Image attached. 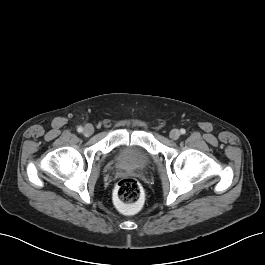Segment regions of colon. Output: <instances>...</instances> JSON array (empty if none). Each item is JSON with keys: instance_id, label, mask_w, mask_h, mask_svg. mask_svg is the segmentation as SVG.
<instances>
[{"instance_id": "obj_1", "label": "colon", "mask_w": 265, "mask_h": 265, "mask_svg": "<svg viewBox=\"0 0 265 265\" xmlns=\"http://www.w3.org/2000/svg\"><path fill=\"white\" fill-rule=\"evenodd\" d=\"M117 203L121 208H129L137 205L143 196L142 187L133 178L121 179L114 190Z\"/></svg>"}]
</instances>
